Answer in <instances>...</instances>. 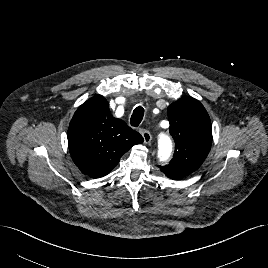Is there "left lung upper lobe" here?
<instances>
[{
  "mask_svg": "<svg viewBox=\"0 0 268 268\" xmlns=\"http://www.w3.org/2000/svg\"><path fill=\"white\" fill-rule=\"evenodd\" d=\"M170 134L175 140L173 159L159 166L170 179H182L196 171L207 157L212 143V127L203 105L183 96L168 107Z\"/></svg>",
  "mask_w": 268,
  "mask_h": 268,
  "instance_id": "5c2ea615",
  "label": "left lung upper lobe"
}]
</instances>
